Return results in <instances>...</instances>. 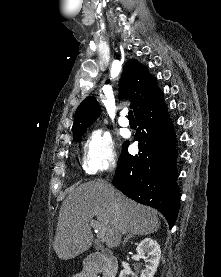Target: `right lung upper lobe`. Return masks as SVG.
<instances>
[{
	"instance_id": "right-lung-upper-lobe-1",
	"label": "right lung upper lobe",
	"mask_w": 221,
	"mask_h": 277,
	"mask_svg": "<svg viewBox=\"0 0 221 277\" xmlns=\"http://www.w3.org/2000/svg\"><path fill=\"white\" fill-rule=\"evenodd\" d=\"M119 98L129 99L134 114L149 103L160 89L148 68L135 59L128 60L120 79ZM100 114V106L95 97L85 98L75 112L73 134L86 130Z\"/></svg>"
}]
</instances>
